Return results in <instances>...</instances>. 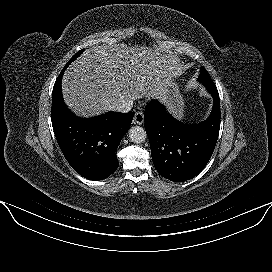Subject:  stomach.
I'll return each mask as SVG.
<instances>
[{"label": "stomach", "instance_id": "obj_1", "mask_svg": "<svg viewBox=\"0 0 272 272\" xmlns=\"http://www.w3.org/2000/svg\"><path fill=\"white\" fill-rule=\"evenodd\" d=\"M166 102L170 111L178 118H182L184 102L180 94L179 87L174 82H170L166 92Z\"/></svg>", "mask_w": 272, "mask_h": 272}]
</instances>
